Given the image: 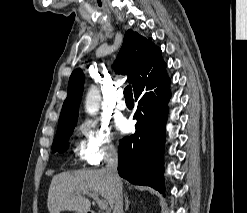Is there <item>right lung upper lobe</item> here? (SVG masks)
Returning a JSON list of instances; mask_svg holds the SVG:
<instances>
[{
  "label": "right lung upper lobe",
  "mask_w": 247,
  "mask_h": 213,
  "mask_svg": "<svg viewBox=\"0 0 247 213\" xmlns=\"http://www.w3.org/2000/svg\"><path fill=\"white\" fill-rule=\"evenodd\" d=\"M161 54V49L155 46L151 38L146 39L128 30L113 68L119 74L128 75V82L135 90L166 68ZM83 83L84 75L80 69H76L70 76L68 95L61 110L58 128L76 125Z\"/></svg>",
  "instance_id": "obj_1"
}]
</instances>
